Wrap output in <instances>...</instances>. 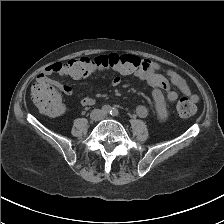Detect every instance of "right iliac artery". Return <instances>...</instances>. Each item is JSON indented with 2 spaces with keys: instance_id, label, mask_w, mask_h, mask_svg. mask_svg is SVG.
<instances>
[{
  "instance_id": "right-iliac-artery-1",
  "label": "right iliac artery",
  "mask_w": 224,
  "mask_h": 224,
  "mask_svg": "<svg viewBox=\"0 0 224 224\" xmlns=\"http://www.w3.org/2000/svg\"><path fill=\"white\" fill-rule=\"evenodd\" d=\"M111 110H112V108H111L109 105H104V106L102 107V112H103L104 114H108V113H110Z\"/></svg>"
}]
</instances>
